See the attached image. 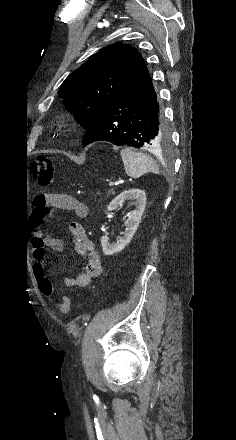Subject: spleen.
I'll use <instances>...</instances> for the list:
<instances>
[{
  "label": "spleen",
  "mask_w": 236,
  "mask_h": 440,
  "mask_svg": "<svg viewBox=\"0 0 236 440\" xmlns=\"http://www.w3.org/2000/svg\"><path fill=\"white\" fill-rule=\"evenodd\" d=\"M120 155L126 174L132 178H139L148 172H159L157 164L147 154L126 147L120 151Z\"/></svg>",
  "instance_id": "spleen-1"
}]
</instances>
